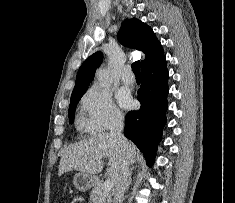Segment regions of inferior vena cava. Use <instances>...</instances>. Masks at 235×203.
<instances>
[{
  "mask_svg": "<svg viewBox=\"0 0 235 203\" xmlns=\"http://www.w3.org/2000/svg\"><path fill=\"white\" fill-rule=\"evenodd\" d=\"M123 127H124L123 116L121 114L115 115L110 127V135L119 141L121 148L126 153V159L123 162L121 174L115 183L113 203H122V199L124 196V192L126 191L128 177H129L128 142L127 139L122 134Z\"/></svg>",
  "mask_w": 235,
  "mask_h": 203,
  "instance_id": "inferior-vena-cava-1",
  "label": "inferior vena cava"
}]
</instances>
